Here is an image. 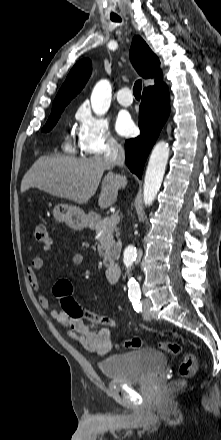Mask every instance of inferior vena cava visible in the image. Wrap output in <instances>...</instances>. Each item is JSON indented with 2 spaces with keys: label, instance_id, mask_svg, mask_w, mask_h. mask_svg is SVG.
Wrapping results in <instances>:
<instances>
[{
  "label": "inferior vena cava",
  "instance_id": "602c4592",
  "mask_svg": "<svg viewBox=\"0 0 221 440\" xmlns=\"http://www.w3.org/2000/svg\"><path fill=\"white\" fill-rule=\"evenodd\" d=\"M104 159L111 165H117L121 168L124 167L125 153L123 147L114 139L108 141V148L105 152ZM123 179L125 177L122 176Z\"/></svg>",
  "mask_w": 221,
  "mask_h": 440
}]
</instances>
